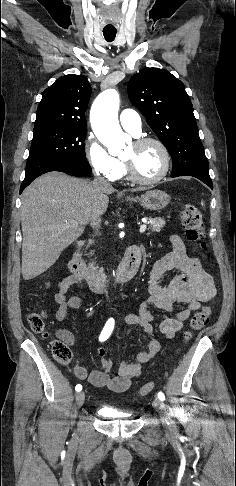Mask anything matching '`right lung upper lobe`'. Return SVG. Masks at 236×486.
I'll list each match as a JSON object with an SVG mask.
<instances>
[{
	"label": "right lung upper lobe",
	"mask_w": 236,
	"mask_h": 486,
	"mask_svg": "<svg viewBox=\"0 0 236 486\" xmlns=\"http://www.w3.org/2000/svg\"><path fill=\"white\" fill-rule=\"evenodd\" d=\"M91 86L83 75H65L44 90L35 127L86 128L85 111Z\"/></svg>",
	"instance_id": "cb5924a9"
}]
</instances>
